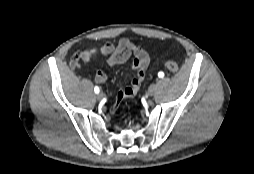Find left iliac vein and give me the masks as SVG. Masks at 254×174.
<instances>
[{
  "mask_svg": "<svg viewBox=\"0 0 254 174\" xmlns=\"http://www.w3.org/2000/svg\"><path fill=\"white\" fill-rule=\"evenodd\" d=\"M156 90H157L156 84L150 85L148 92H147L148 96H153L155 94Z\"/></svg>",
  "mask_w": 254,
  "mask_h": 174,
  "instance_id": "obj_1",
  "label": "left iliac vein"
}]
</instances>
